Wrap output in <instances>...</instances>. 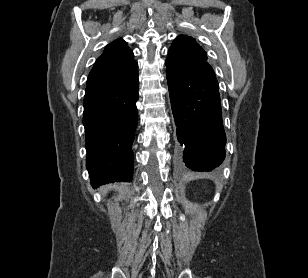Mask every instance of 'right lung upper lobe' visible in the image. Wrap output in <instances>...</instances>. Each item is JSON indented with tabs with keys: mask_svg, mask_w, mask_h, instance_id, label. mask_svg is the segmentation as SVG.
<instances>
[{
	"mask_svg": "<svg viewBox=\"0 0 308 278\" xmlns=\"http://www.w3.org/2000/svg\"><path fill=\"white\" fill-rule=\"evenodd\" d=\"M138 73L133 52L122 39L108 44L96 60L88 79L86 92L114 89L128 83Z\"/></svg>",
	"mask_w": 308,
	"mask_h": 278,
	"instance_id": "right-lung-upper-lobe-1",
	"label": "right lung upper lobe"
}]
</instances>
